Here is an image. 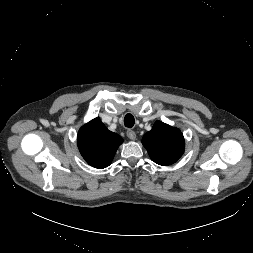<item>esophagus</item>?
Returning a JSON list of instances; mask_svg holds the SVG:
<instances>
[{
	"instance_id": "esophagus-1",
	"label": "esophagus",
	"mask_w": 253,
	"mask_h": 253,
	"mask_svg": "<svg viewBox=\"0 0 253 253\" xmlns=\"http://www.w3.org/2000/svg\"><path fill=\"white\" fill-rule=\"evenodd\" d=\"M126 134L129 139L131 140L136 139V133L133 130H127Z\"/></svg>"
}]
</instances>
